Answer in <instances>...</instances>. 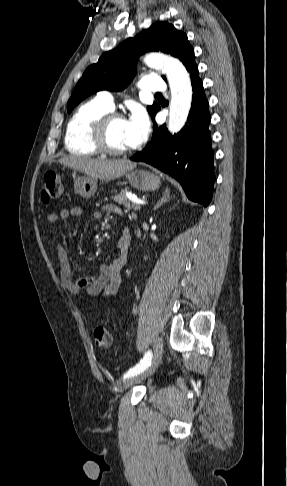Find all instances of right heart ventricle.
<instances>
[{"mask_svg":"<svg viewBox=\"0 0 287 486\" xmlns=\"http://www.w3.org/2000/svg\"><path fill=\"white\" fill-rule=\"evenodd\" d=\"M110 110L97 98L83 103L75 110L67 123L64 137L65 148L70 154L87 157L99 154L91 142V127Z\"/></svg>","mask_w":287,"mask_h":486,"instance_id":"obj_1","label":"right heart ventricle"}]
</instances>
